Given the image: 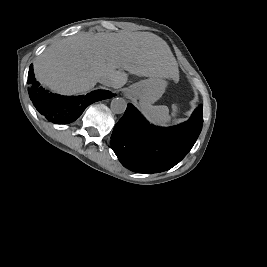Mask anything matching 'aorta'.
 <instances>
[{
    "mask_svg": "<svg viewBox=\"0 0 267 267\" xmlns=\"http://www.w3.org/2000/svg\"><path fill=\"white\" fill-rule=\"evenodd\" d=\"M111 111L115 114H122L127 108V102L124 98H113L110 104Z\"/></svg>",
    "mask_w": 267,
    "mask_h": 267,
    "instance_id": "aorta-1",
    "label": "aorta"
}]
</instances>
